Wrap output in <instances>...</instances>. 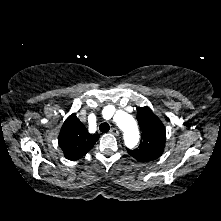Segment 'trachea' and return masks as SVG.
Here are the masks:
<instances>
[{"label":"trachea","mask_w":221,"mask_h":221,"mask_svg":"<svg viewBox=\"0 0 221 221\" xmlns=\"http://www.w3.org/2000/svg\"><path fill=\"white\" fill-rule=\"evenodd\" d=\"M109 129H110V126H109V124L106 123V122L100 124V126H99V130H100L101 132H107V131H109Z\"/></svg>","instance_id":"3493384b"}]
</instances>
